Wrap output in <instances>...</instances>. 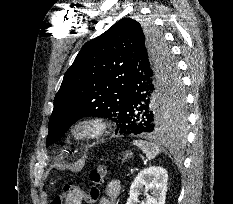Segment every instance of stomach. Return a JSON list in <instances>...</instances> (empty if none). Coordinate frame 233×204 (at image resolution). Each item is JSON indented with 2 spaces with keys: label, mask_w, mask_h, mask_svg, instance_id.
Returning <instances> with one entry per match:
<instances>
[{
  "label": "stomach",
  "mask_w": 233,
  "mask_h": 204,
  "mask_svg": "<svg viewBox=\"0 0 233 204\" xmlns=\"http://www.w3.org/2000/svg\"><path fill=\"white\" fill-rule=\"evenodd\" d=\"M132 155H133V153H132L131 151H126V152L124 153L123 159L126 160V159L132 157Z\"/></svg>",
  "instance_id": "1"
}]
</instances>
